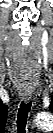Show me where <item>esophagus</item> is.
Segmentation results:
<instances>
[{
    "instance_id": "1",
    "label": "esophagus",
    "mask_w": 53,
    "mask_h": 133,
    "mask_svg": "<svg viewBox=\"0 0 53 133\" xmlns=\"http://www.w3.org/2000/svg\"><path fill=\"white\" fill-rule=\"evenodd\" d=\"M20 94L25 102H29L32 99V91L30 89H23Z\"/></svg>"
}]
</instances>
